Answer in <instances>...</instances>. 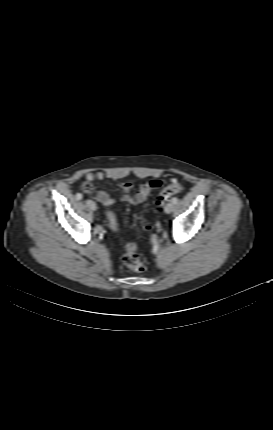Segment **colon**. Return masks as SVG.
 Segmentation results:
<instances>
[{
    "mask_svg": "<svg viewBox=\"0 0 273 430\" xmlns=\"http://www.w3.org/2000/svg\"><path fill=\"white\" fill-rule=\"evenodd\" d=\"M83 188L86 192H90L92 190V185L90 183H85L83 185ZM181 190V184L177 181H173L170 185L166 186L156 197V202L158 204H163L166 200H169L171 197L179 193ZM107 217L109 220L110 227L118 231L119 226L115 217V214L112 211H109L107 213ZM123 261L124 263L131 268L134 271H143L145 266L140 259L138 252H137V246L135 243L128 242L125 245V253L123 255Z\"/></svg>",
    "mask_w": 273,
    "mask_h": 430,
    "instance_id": "obj_1",
    "label": "colon"
}]
</instances>
